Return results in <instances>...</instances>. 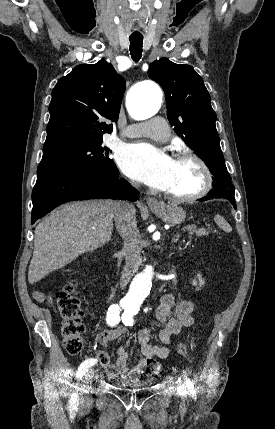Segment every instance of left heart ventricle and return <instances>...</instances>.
I'll return each instance as SVG.
<instances>
[{
  "mask_svg": "<svg viewBox=\"0 0 275 429\" xmlns=\"http://www.w3.org/2000/svg\"><path fill=\"white\" fill-rule=\"evenodd\" d=\"M203 182L199 166L190 160H173L164 191L175 195H188L198 191Z\"/></svg>",
  "mask_w": 275,
  "mask_h": 429,
  "instance_id": "1",
  "label": "left heart ventricle"
}]
</instances>
